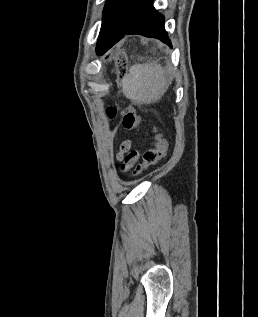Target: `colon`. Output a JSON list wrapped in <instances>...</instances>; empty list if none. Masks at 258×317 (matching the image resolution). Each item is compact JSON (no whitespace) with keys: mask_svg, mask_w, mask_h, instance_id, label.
Segmentation results:
<instances>
[{"mask_svg":"<svg viewBox=\"0 0 258 317\" xmlns=\"http://www.w3.org/2000/svg\"><path fill=\"white\" fill-rule=\"evenodd\" d=\"M116 108L109 107L107 109V115L112 118L116 115ZM142 122V118L136 109L130 108L124 114L122 118V125L127 130L137 128ZM153 147L146 150L142 155V161L138 164L134 170V174H139L148 167L155 165L167 153V142L156 129H152Z\"/></svg>","mask_w":258,"mask_h":317,"instance_id":"5ec220e1","label":"colon"}]
</instances>
